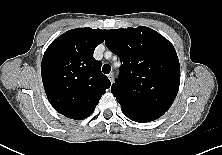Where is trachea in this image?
<instances>
[{
	"instance_id": "1",
	"label": "trachea",
	"mask_w": 222,
	"mask_h": 155,
	"mask_svg": "<svg viewBox=\"0 0 222 155\" xmlns=\"http://www.w3.org/2000/svg\"><path fill=\"white\" fill-rule=\"evenodd\" d=\"M102 71L103 73L105 74H109L110 71H111V66L109 64H105L103 67H102Z\"/></svg>"
}]
</instances>
